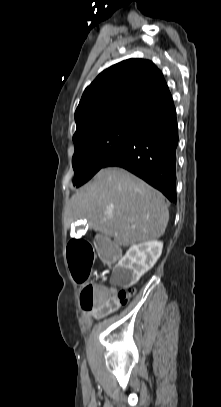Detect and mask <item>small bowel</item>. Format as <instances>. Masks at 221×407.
Wrapping results in <instances>:
<instances>
[{"mask_svg":"<svg viewBox=\"0 0 221 407\" xmlns=\"http://www.w3.org/2000/svg\"><path fill=\"white\" fill-rule=\"evenodd\" d=\"M93 314H94L95 316H103V315L98 314V313H96V312H94V311H93Z\"/></svg>","mask_w":221,"mask_h":407,"instance_id":"c3829d8e","label":"small bowel"}]
</instances>
